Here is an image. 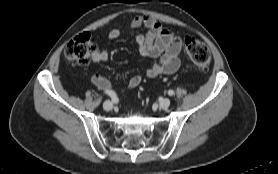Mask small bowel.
<instances>
[{
	"mask_svg": "<svg viewBox=\"0 0 278 174\" xmlns=\"http://www.w3.org/2000/svg\"><path fill=\"white\" fill-rule=\"evenodd\" d=\"M130 26L132 28L145 27L146 34H138L135 41L141 56L154 60L153 64L147 69L146 75L149 78H155L161 74H172L180 67L179 54L182 49V42L179 36L172 31L164 28L159 21L149 15H140L135 17ZM122 35L118 28L112 29L108 38L115 40ZM109 52L107 49L95 51L92 54V60L95 63L107 61ZM141 76H132L125 90H131L141 83ZM92 83L105 93L114 92L109 79L102 75L95 74L91 78Z\"/></svg>",
	"mask_w": 278,
	"mask_h": 174,
	"instance_id": "1",
	"label": "small bowel"
}]
</instances>
